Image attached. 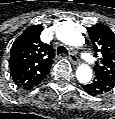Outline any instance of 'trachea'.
I'll return each mask as SVG.
<instances>
[{
  "instance_id": "1",
  "label": "trachea",
  "mask_w": 115,
  "mask_h": 119,
  "mask_svg": "<svg viewBox=\"0 0 115 119\" xmlns=\"http://www.w3.org/2000/svg\"><path fill=\"white\" fill-rule=\"evenodd\" d=\"M65 54L68 55V50L64 46H58L57 55Z\"/></svg>"
}]
</instances>
